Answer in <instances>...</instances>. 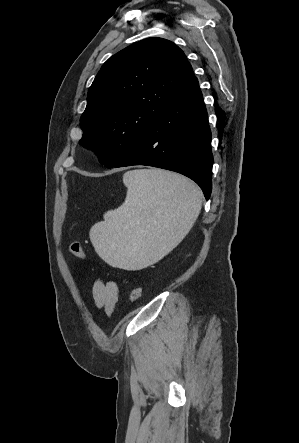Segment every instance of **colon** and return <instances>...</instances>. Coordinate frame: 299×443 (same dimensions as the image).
I'll use <instances>...</instances> for the list:
<instances>
[{
  "label": "colon",
  "mask_w": 299,
  "mask_h": 443,
  "mask_svg": "<svg viewBox=\"0 0 299 443\" xmlns=\"http://www.w3.org/2000/svg\"><path fill=\"white\" fill-rule=\"evenodd\" d=\"M70 251L73 255L80 259H86V254L81 246V244L77 241H72L70 244ZM142 295V290L140 287H134L130 291L129 299L131 302H136L140 299Z\"/></svg>",
  "instance_id": "1"
}]
</instances>
